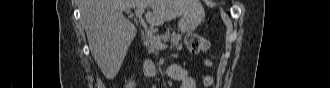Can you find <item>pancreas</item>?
<instances>
[{
    "label": "pancreas",
    "mask_w": 330,
    "mask_h": 88,
    "mask_svg": "<svg viewBox=\"0 0 330 88\" xmlns=\"http://www.w3.org/2000/svg\"><path fill=\"white\" fill-rule=\"evenodd\" d=\"M155 38H156V41H159L161 43H162V41H164V42L170 41L171 47L176 48L177 50L182 49V44L180 43L182 36L178 33H175V32L171 33L170 31H167L162 35H155ZM144 45L147 47V49L150 53H154V54L158 53V49H156L153 41L149 37L145 38Z\"/></svg>",
    "instance_id": "pancreas-1"
}]
</instances>
